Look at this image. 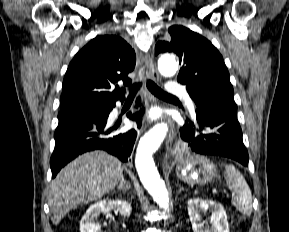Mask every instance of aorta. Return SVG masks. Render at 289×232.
I'll return each mask as SVG.
<instances>
[{
    "mask_svg": "<svg viewBox=\"0 0 289 232\" xmlns=\"http://www.w3.org/2000/svg\"><path fill=\"white\" fill-rule=\"evenodd\" d=\"M158 68L162 75L173 76L178 69V65L172 57L162 58L158 63ZM167 131L168 127L165 123L154 126L140 139L135 158L140 181L153 200L165 209L169 205L168 192L164 181L160 178L152 155L163 142Z\"/></svg>",
    "mask_w": 289,
    "mask_h": 232,
    "instance_id": "aorta-1",
    "label": "aorta"
}]
</instances>
